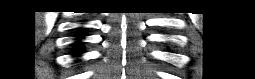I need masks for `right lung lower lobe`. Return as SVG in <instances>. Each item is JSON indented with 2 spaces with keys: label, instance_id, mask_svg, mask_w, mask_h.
Here are the masks:
<instances>
[{
  "label": "right lung lower lobe",
  "instance_id": "98d812e1",
  "mask_svg": "<svg viewBox=\"0 0 255 79\" xmlns=\"http://www.w3.org/2000/svg\"><path fill=\"white\" fill-rule=\"evenodd\" d=\"M77 53H80V51L78 50V51L75 52V54H77Z\"/></svg>",
  "mask_w": 255,
  "mask_h": 79
}]
</instances>
